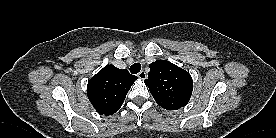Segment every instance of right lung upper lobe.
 Instances as JSON below:
<instances>
[{
    "label": "right lung upper lobe",
    "mask_w": 276,
    "mask_h": 138,
    "mask_svg": "<svg viewBox=\"0 0 276 138\" xmlns=\"http://www.w3.org/2000/svg\"><path fill=\"white\" fill-rule=\"evenodd\" d=\"M137 76L124 69L106 65L88 82V98L101 115H112L120 109Z\"/></svg>",
    "instance_id": "1"
}]
</instances>
